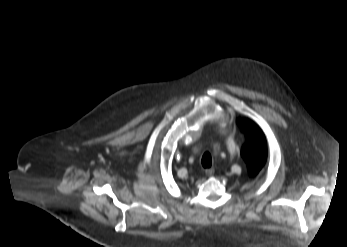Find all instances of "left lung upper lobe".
Here are the masks:
<instances>
[{"label":"left lung upper lobe","mask_w":347,"mask_h":247,"mask_svg":"<svg viewBox=\"0 0 347 247\" xmlns=\"http://www.w3.org/2000/svg\"><path fill=\"white\" fill-rule=\"evenodd\" d=\"M242 131L247 138L242 148V157L246 161L251 175L258 173L267 158L266 140L261 129L250 121H240Z\"/></svg>","instance_id":"1"}]
</instances>
